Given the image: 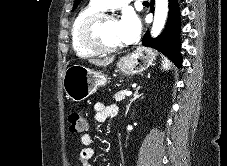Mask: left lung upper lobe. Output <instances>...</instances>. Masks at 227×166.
I'll list each match as a JSON object with an SVG mask.
<instances>
[{"instance_id":"left-lung-upper-lobe-1","label":"left lung upper lobe","mask_w":227,"mask_h":166,"mask_svg":"<svg viewBox=\"0 0 227 166\" xmlns=\"http://www.w3.org/2000/svg\"><path fill=\"white\" fill-rule=\"evenodd\" d=\"M82 0H75L74 5H73V10L77 7V5L81 2Z\"/></svg>"}]
</instances>
